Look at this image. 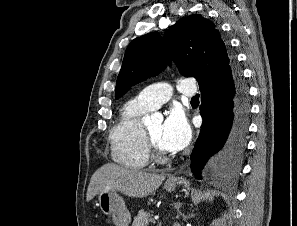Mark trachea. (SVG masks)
Returning a JSON list of instances; mask_svg holds the SVG:
<instances>
[{"instance_id": "1", "label": "trachea", "mask_w": 297, "mask_h": 226, "mask_svg": "<svg viewBox=\"0 0 297 226\" xmlns=\"http://www.w3.org/2000/svg\"><path fill=\"white\" fill-rule=\"evenodd\" d=\"M199 100H198V96H195V97H193L192 99H191V102H198Z\"/></svg>"}]
</instances>
